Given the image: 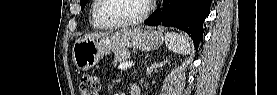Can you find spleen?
I'll return each mask as SVG.
<instances>
[{
    "label": "spleen",
    "instance_id": "3e777b00",
    "mask_svg": "<svg viewBox=\"0 0 277 95\" xmlns=\"http://www.w3.org/2000/svg\"><path fill=\"white\" fill-rule=\"evenodd\" d=\"M165 42L167 48L172 52L182 55L190 54L191 52V47L188 39L181 34L168 32L166 34Z\"/></svg>",
    "mask_w": 277,
    "mask_h": 95
}]
</instances>
